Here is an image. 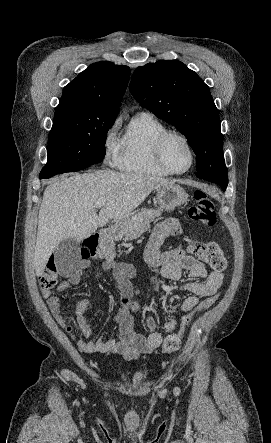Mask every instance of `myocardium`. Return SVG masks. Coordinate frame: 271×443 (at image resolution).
<instances>
[{
    "label": "myocardium",
    "mask_w": 271,
    "mask_h": 443,
    "mask_svg": "<svg viewBox=\"0 0 271 443\" xmlns=\"http://www.w3.org/2000/svg\"><path fill=\"white\" fill-rule=\"evenodd\" d=\"M174 136L182 139L186 143V145L188 146L190 153H191V163H190L189 167L184 170H175V169L171 168L170 165L167 163L165 156H164L165 144L171 137H174ZM154 155H155L157 162L159 163V165L162 168H164L168 173L176 174V175L185 174V173L189 172L194 167L195 161H196V152H195V148H194L192 142L184 134H182L181 132L175 131V130H166L156 139L155 144H154Z\"/></svg>",
    "instance_id": "obj_1"
}]
</instances>
